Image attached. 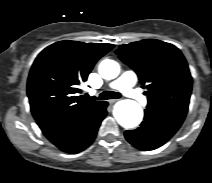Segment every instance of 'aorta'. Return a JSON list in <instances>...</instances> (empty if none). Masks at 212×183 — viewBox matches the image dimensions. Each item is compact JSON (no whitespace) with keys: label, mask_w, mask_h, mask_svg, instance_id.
Instances as JSON below:
<instances>
[{"label":"aorta","mask_w":212,"mask_h":183,"mask_svg":"<svg viewBox=\"0 0 212 183\" xmlns=\"http://www.w3.org/2000/svg\"><path fill=\"white\" fill-rule=\"evenodd\" d=\"M119 72V64L114 60H103L99 65V74L104 79H114L118 76ZM113 114L118 123L127 129L138 126L143 117L140 105L133 100L119 101L114 107Z\"/></svg>","instance_id":"aorta-1"}]
</instances>
